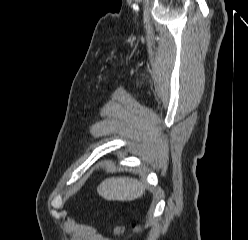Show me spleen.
I'll use <instances>...</instances> for the list:
<instances>
[{"label": "spleen", "instance_id": "1", "mask_svg": "<svg viewBox=\"0 0 248 240\" xmlns=\"http://www.w3.org/2000/svg\"><path fill=\"white\" fill-rule=\"evenodd\" d=\"M98 193L106 200L132 201L145 193V188L137 179L129 177H111L105 179Z\"/></svg>", "mask_w": 248, "mask_h": 240}]
</instances>
